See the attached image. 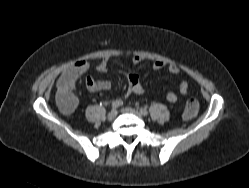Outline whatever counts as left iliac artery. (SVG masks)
<instances>
[{
  "mask_svg": "<svg viewBox=\"0 0 249 188\" xmlns=\"http://www.w3.org/2000/svg\"><path fill=\"white\" fill-rule=\"evenodd\" d=\"M140 113L144 116L148 115V110L146 108H140Z\"/></svg>",
  "mask_w": 249,
  "mask_h": 188,
  "instance_id": "44dca946",
  "label": "left iliac artery"
}]
</instances>
